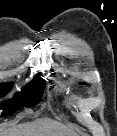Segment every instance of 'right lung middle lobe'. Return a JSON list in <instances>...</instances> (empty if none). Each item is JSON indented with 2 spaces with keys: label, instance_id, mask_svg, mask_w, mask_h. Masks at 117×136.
Returning <instances> with one entry per match:
<instances>
[{
  "label": "right lung middle lobe",
  "instance_id": "obj_1",
  "mask_svg": "<svg viewBox=\"0 0 117 136\" xmlns=\"http://www.w3.org/2000/svg\"><path fill=\"white\" fill-rule=\"evenodd\" d=\"M40 76L41 74H39V76H37L20 93H17L13 99L1 104L4 114L11 115L15 113L20 107L34 106L37 104L45 87V80ZM8 88V84H1L0 95L6 93Z\"/></svg>",
  "mask_w": 117,
  "mask_h": 136
}]
</instances>
